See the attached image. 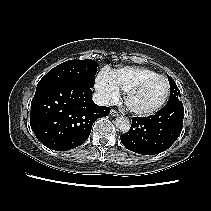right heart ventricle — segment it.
<instances>
[{
	"label": "right heart ventricle",
	"instance_id": "right-heart-ventricle-1",
	"mask_svg": "<svg viewBox=\"0 0 211 211\" xmlns=\"http://www.w3.org/2000/svg\"><path fill=\"white\" fill-rule=\"evenodd\" d=\"M110 74L118 89L124 93L141 80L158 75L155 71L142 67H123L111 71Z\"/></svg>",
	"mask_w": 211,
	"mask_h": 211
}]
</instances>
